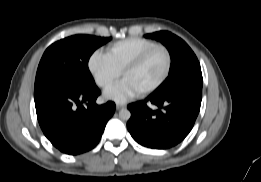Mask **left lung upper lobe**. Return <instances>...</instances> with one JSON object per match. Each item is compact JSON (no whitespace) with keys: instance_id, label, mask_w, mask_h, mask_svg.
I'll return each mask as SVG.
<instances>
[{"instance_id":"5c2ea615","label":"left lung upper lobe","mask_w":261,"mask_h":182,"mask_svg":"<svg viewBox=\"0 0 261 182\" xmlns=\"http://www.w3.org/2000/svg\"><path fill=\"white\" fill-rule=\"evenodd\" d=\"M145 37L163 43L171 57L167 79L152 94L157 97H166L193 86H202L203 78L199 61L181 38L167 31L146 34Z\"/></svg>"}]
</instances>
